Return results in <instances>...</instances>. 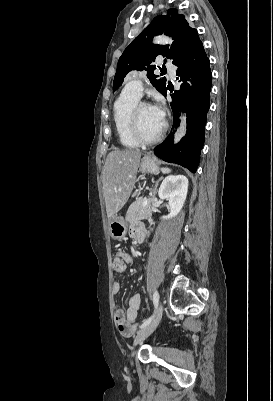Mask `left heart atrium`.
<instances>
[{"mask_svg":"<svg viewBox=\"0 0 273 401\" xmlns=\"http://www.w3.org/2000/svg\"><path fill=\"white\" fill-rule=\"evenodd\" d=\"M155 118L163 125L165 122V111L161 104L157 103L149 106Z\"/></svg>","mask_w":273,"mask_h":401,"instance_id":"left-heart-atrium-1","label":"left heart atrium"}]
</instances>
